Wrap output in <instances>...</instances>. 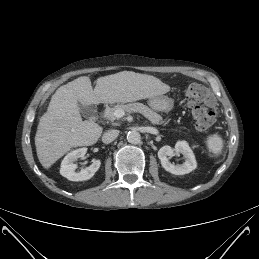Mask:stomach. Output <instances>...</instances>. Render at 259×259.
Returning a JSON list of instances; mask_svg holds the SVG:
<instances>
[{"mask_svg":"<svg viewBox=\"0 0 259 259\" xmlns=\"http://www.w3.org/2000/svg\"><path fill=\"white\" fill-rule=\"evenodd\" d=\"M151 108L157 111L169 112L173 108V101L167 96L159 95L149 100Z\"/></svg>","mask_w":259,"mask_h":259,"instance_id":"1","label":"stomach"}]
</instances>
